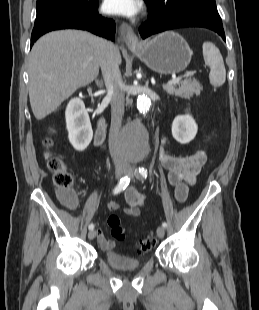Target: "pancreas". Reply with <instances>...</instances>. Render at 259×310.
<instances>
[{"label": "pancreas", "instance_id": "pancreas-1", "mask_svg": "<svg viewBox=\"0 0 259 310\" xmlns=\"http://www.w3.org/2000/svg\"><path fill=\"white\" fill-rule=\"evenodd\" d=\"M163 88L168 94L176 95L184 99H190L193 95L199 96L203 90L199 81L192 78L185 79L178 84L165 85Z\"/></svg>", "mask_w": 259, "mask_h": 310}]
</instances>
